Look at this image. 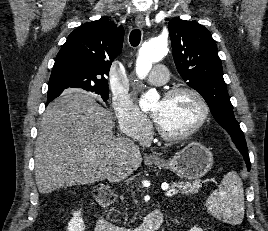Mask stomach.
I'll use <instances>...</instances> for the list:
<instances>
[{
	"label": "stomach",
	"mask_w": 268,
	"mask_h": 231,
	"mask_svg": "<svg viewBox=\"0 0 268 231\" xmlns=\"http://www.w3.org/2000/svg\"><path fill=\"white\" fill-rule=\"evenodd\" d=\"M159 168L168 169L181 178L196 180L203 177L213 165V156L208 148L191 142L172 159L155 161Z\"/></svg>",
	"instance_id": "1"
}]
</instances>
